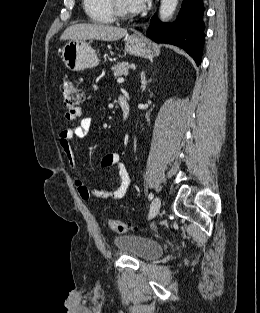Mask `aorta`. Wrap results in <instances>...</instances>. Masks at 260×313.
Wrapping results in <instances>:
<instances>
[{"mask_svg": "<svg viewBox=\"0 0 260 313\" xmlns=\"http://www.w3.org/2000/svg\"><path fill=\"white\" fill-rule=\"evenodd\" d=\"M178 0H161L159 17L162 21L168 20L177 7Z\"/></svg>", "mask_w": 260, "mask_h": 313, "instance_id": "obj_1", "label": "aorta"}]
</instances>
